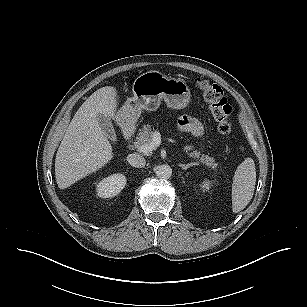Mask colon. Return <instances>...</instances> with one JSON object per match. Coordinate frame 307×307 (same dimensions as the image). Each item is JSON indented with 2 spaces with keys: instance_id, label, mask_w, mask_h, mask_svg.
Listing matches in <instances>:
<instances>
[{
  "instance_id": "5ec220e1",
  "label": "colon",
  "mask_w": 307,
  "mask_h": 307,
  "mask_svg": "<svg viewBox=\"0 0 307 307\" xmlns=\"http://www.w3.org/2000/svg\"><path fill=\"white\" fill-rule=\"evenodd\" d=\"M197 89L208 103L221 134L229 135L233 130L232 108L224 96L222 88L205 79H197Z\"/></svg>"
}]
</instances>
